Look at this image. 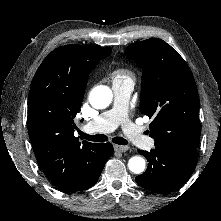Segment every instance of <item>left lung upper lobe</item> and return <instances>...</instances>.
Here are the masks:
<instances>
[{
  "label": "left lung upper lobe",
  "instance_id": "obj_1",
  "mask_svg": "<svg viewBox=\"0 0 221 221\" xmlns=\"http://www.w3.org/2000/svg\"><path fill=\"white\" fill-rule=\"evenodd\" d=\"M125 54L143 70L140 111L153 118L155 146L197 151L199 96L187 63L158 38L131 44Z\"/></svg>",
  "mask_w": 221,
  "mask_h": 221
}]
</instances>
